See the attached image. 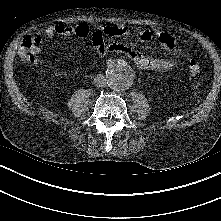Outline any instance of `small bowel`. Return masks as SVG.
<instances>
[{
  "mask_svg": "<svg viewBox=\"0 0 221 221\" xmlns=\"http://www.w3.org/2000/svg\"><path fill=\"white\" fill-rule=\"evenodd\" d=\"M42 35L47 38L61 35L91 39L99 58H103L108 52L122 54L128 57L138 68L144 70L164 71L177 65L176 57L165 58L155 55H145L121 42H106L107 38H126L133 36L139 42L160 44L169 53L175 54L177 46L173 37L168 33L152 30H131L124 25H111L92 30L84 24L57 23L45 28ZM35 38L39 43L41 42V36H35Z\"/></svg>",
  "mask_w": 221,
  "mask_h": 221,
  "instance_id": "small-bowel-1",
  "label": "small bowel"
}]
</instances>
